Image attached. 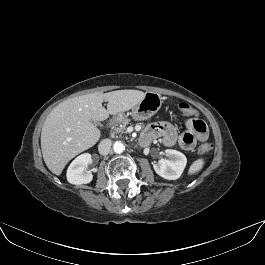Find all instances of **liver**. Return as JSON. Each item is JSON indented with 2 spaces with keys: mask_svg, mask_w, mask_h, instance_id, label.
<instances>
[{
  "mask_svg": "<svg viewBox=\"0 0 265 265\" xmlns=\"http://www.w3.org/2000/svg\"><path fill=\"white\" fill-rule=\"evenodd\" d=\"M145 93L117 90L74 97L56 106L47 116L41 132V149L48 169L60 175L66 164L79 153L94 146L100 131L91 121H104L135 107ZM106 101L107 109L102 106Z\"/></svg>",
  "mask_w": 265,
  "mask_h": 265,
  "instance_id": "1",
  "label": "liver"
}]
</instances>
